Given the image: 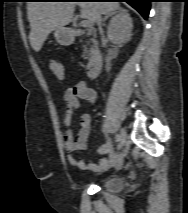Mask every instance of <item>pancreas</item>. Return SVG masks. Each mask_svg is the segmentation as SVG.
<instances>
[{"label": "pancreas", "instance_id": "cf45deb5", "mask_svg": "<svg viewBox=\"0 0 188 213\" xmlns=\"http://www.w3.org/2000/svg\"><path fill=\"white\" fill-rule=\"evenodd\" d=\"M89 34H90V33H88V35H89ZM87 45H89V43H87ZM92 51H93V47L88 48L87 46H85L84 53H83V57H84L85 59H87L89 53H91Z\"/></svg>", "mask_w": 188, "mask_h": 213}]
</instances>
